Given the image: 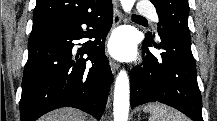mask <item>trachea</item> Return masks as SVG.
<instances>
[{
    "label": "trachea",
    "instance_id": "3493384b",
    "mask_svg": "<svg viewBox=\"0 0 217 121\" xmlns=\"http://www.w3.org/2000/svg\"><path fill=\"white\" fill-rule=\"evenodd\" d=\"M134 17H142V16L134 15Z\"/></svg>",
    "mask_w": 217,
    "mask_h": 121
}]
</instances>
